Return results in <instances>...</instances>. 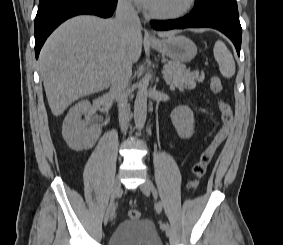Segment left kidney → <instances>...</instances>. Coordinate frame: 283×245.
Segmentation results:
<instances>
[{
	"label": "left kidney",
	"instance_id": "obj_1",
	"mask_svg": "<svg viewBox=\"0 0 283 245\" xmlns=\"http://www.w3.org/2000/svg\"><path fill=\"white\" fill-rule=\"evenodd\" d=\"M172 123L179 135L183 139H188L194 132V115L187 106H179L171 113Z\"/></svg>",
	"mask_w": 283,
	"mask_h": 245
}]
</instances>
